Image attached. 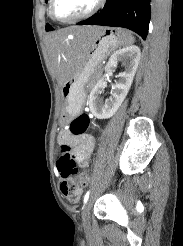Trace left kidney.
Instances as JSON below:
<instances>
[{"label": "left kidney", "instance_id": "left-kidney-1", "mask_svg": "<svg viewBox=\"0 0 183 246\" xmlns=\"http://www.w3.org/2000/svg\"><path fill=\"white\" fill-rule=\"evenodd\" d=\"M141 52L139 47L132 45L115 51L105 67L104 76L96 83L90 93L89 108L98 119L112 117L124 101L135 76ZM119 61L125 64V71L119 73V80L113 86L111 96L103 102L99 95L105 88L104 78L112 75Z\"/></svg>", "mask_w": 183, "mask_h": 246}]
</instances>
